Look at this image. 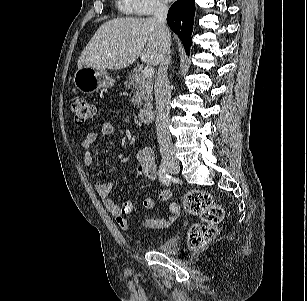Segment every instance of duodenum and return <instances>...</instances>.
<instances>
[{"instance_id":"duodenum-1","label":"duodenum","mask_w":307,"mask_h":301,"mask_svg":"<svg viewBox=\"0 0 307 301\" xmlns=\"http://www.w3.org/2000/svg\"><path fill=\"white\" fill-rule=\"evenodd\" d=\"M154 118V108L153 106L147 105L140 109L139 111V121L142 124H150Z\"/></svg>"}]
</instances>
